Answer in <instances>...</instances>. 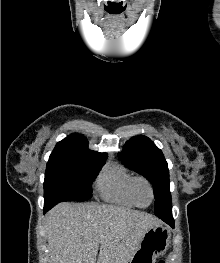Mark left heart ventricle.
<instances>
[{
  "instance_id": "1",
  "label": "left heart ventricle",
  "mask_w": 220,
  "mask_h": 263,
  "mask_svg": "<svg viewBox=\"0 0 220 263\" xmlns=\"http://www.w3.org/2000/svg\"><path fill=\"white\" fill-rule=\"evenodd\" d=\"M137 197L138 201L142 205H146L150 201V193L149 190L146 188L144 185H139L138 190H137Z\"/></svg>"
}]
</instances>
